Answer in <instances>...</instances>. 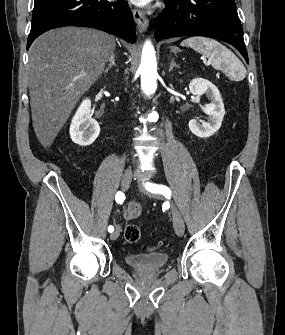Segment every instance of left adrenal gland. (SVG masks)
I'll use <instances>...</instances> for the list:
<instances>
[{"label": "left adrenal gland", "mask_w": 285, "mask_h": 335, "mask_svg": "<svg viewBox=\"0 0 285 335\" xmlns=\"http://www.w3.org/2000/svg\"><path fill=\"white\" fill-rule=\"evenodd\" d=\"M173 68H180V66H177V64H176V62H175V60H174V58H172V60H171V64H170V66H169V70H168V72H172Z\"/></svg>", "instance_id": "1"}]
</instances>
